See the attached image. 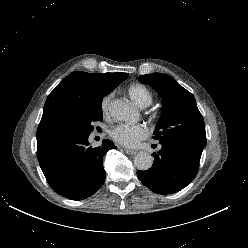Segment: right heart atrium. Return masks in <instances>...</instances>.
Here are the masks:
<instances>
[{
  "label": "right heart atrium",
  "mask_w": 248,
  "mask_h": 248,
  "mask_svg": "<svg viewBox=\"0 0 248 248\" xmlns=\"http://www.w3.org/2000/svg\"><path fill=\"white\" fill-rule=\"evenodd\" d=\"M111 101H112V94H108L103 97L100 104L101 112L106 117L109 116L110 113Z\"/></svg>",
  "instance_id": "right-heart-atrium-1"
}]
</instances>
